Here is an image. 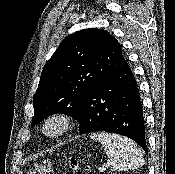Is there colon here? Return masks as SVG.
I'll list each match as a JSON object with an SVG mask.
<instances>
[{"label": "colon", "instance_id": "colon-1", "mask_svg": "<svg viewBox=\"0 0 175 174\" xmlns=\"http://www.w3.org/2000/svg\"><path fill=\"white\" fill-rule=\"evenodd\" d=\"M69 165L75 171L80 169V163L75 157L69 158ZM27 174H53V165L50 161H40L28 169Z\"/></svg>", "mask_w": 175, "mask_h": 174}]
</instances>
